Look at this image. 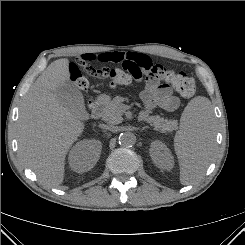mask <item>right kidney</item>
I'll return each instance as SVG.
<instances>
[{"mask_svg": "<svg viewBox=\"0 0 245 245\" xmlns=\"http://www.w3.org/2000/svg\"><path fill=\"white\" fill-rule=\"evenodd\" d=\"M102 149L98 140H82L76 143L69 153V164L73 171L83 173L89 171L97 163Z\"/></svg>", "mask_w": 245, "mask_h": 245, "instance_id": "1", "label": "right kidney"}]
</instances>
